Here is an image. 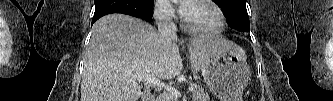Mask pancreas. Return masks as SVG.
Segmentation results:
<instances>
[{
    "instance_id": "1",
    "label": "pancreas",
    "mask_w": 333,
    "mask_h": 101,
    "mask_svg": "<svg viewBox=\"0 0 333 101\" xmlns=\"http://www.w3.org/2000/svg\"><path fill=\"white\" fill-rule=\"evenodd\" d=\"M192 97L193 101H209L208 93L200 86H194ZM162 101H177V96L167 93L162 96Z\"/></svg>"
}]
</instances>
